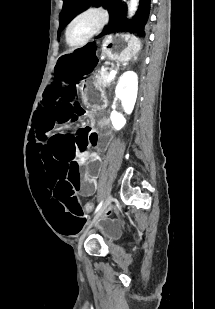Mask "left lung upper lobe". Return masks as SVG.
Returning <instances> with one entry per match:
<instances>
[{"mask_svg":"<svg viewBox=\"0 0 215 309\" xmlns=\"http://www.w3.org/2000/svg\"><path fill=\"white\" fill-rule=\"evenodd\" d=\"M63 10L60 13V31L73 19V17L91 4H102L109 9L110 23L98 36L128 31L137 36H145V28L150 13V0H140L136 15L127 20V7L121 0H63Z\"/></svg>","mask_w":215,"mask_h":309,"instance_id":"1","label":"left lung upper lobe"}]
</instances>
